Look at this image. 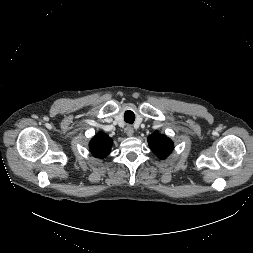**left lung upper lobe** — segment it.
I'll return each mask as SVG.
<instances>
[{
	"label": "left lung upper lobe",
	"instance_id": "left-lung-upper-lobe-1",
	"mask_svg": "<svg viewBox=\"0 0 253 253\" xmlns=\"http://www.w3.org/2000/svg\"><path fill=\"white\" fill-rule=\"evenodd\" d=\"M148 144L160 159H165L173 150L172 140L158 131L148 137Z\"/></svg>",
	"mask_w": 253,
	"mask_h": 253
}]
</instances>
